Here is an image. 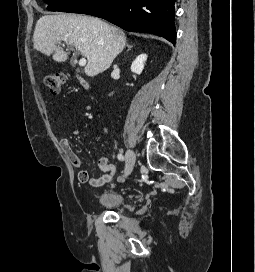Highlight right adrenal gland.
Here are the masks:
<instances>
[{
	"mask_svg": "<svg viewBox=\"0 0 255 272\" xmlns=\"http://www.w3.org/2000/svg\"><path fill=\"white\" fill-rule=\"evenodd\" d=\"M126 46H127L128 50H130L132 48V46L129 44H127Z\"/></svg>",
	"mask_w": 255,
	"mask_h": 272,
	"instance_id": "2a0ac1e0",
	"label": "right adrenal gland"
}]
</instances>
